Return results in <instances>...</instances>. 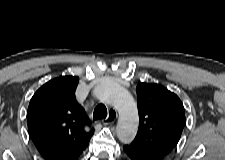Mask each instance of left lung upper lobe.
I'll list each match as a JSON object with an SVG mask.
<instances>
[{
	"mask_svg": "<svg viewBox=\"0 0 225 160\" xmlns=\"http://www.w3.org/2000/svg\"><path fill=\"white\" fill-rule=\"evenodd\" d=\"M139 129L130 149L149 160H162L178 144L185 125L178 96L154 83L137 86Z\"/></svg>",
	"mask_w": 225,
	"mask_h": 160,
	"instance_id": "5c2ea615",
	"label": "left lung upper lobe"
}]
</instances>
